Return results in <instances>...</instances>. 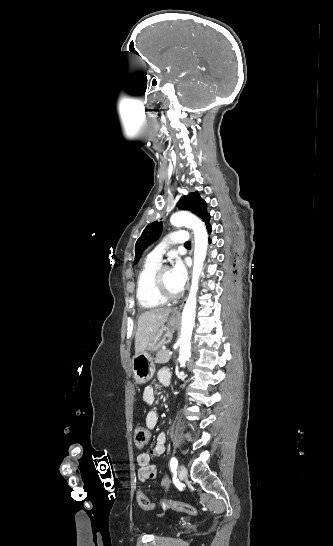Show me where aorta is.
Here are the masks:
<instances>
[{"instance_id": "1", "label": "aorta", "mask_w": 333, "mask_h": 546, "mask_svg": "<svg viewBox=\"0 0 333 546\" xmlns=\"http://www.w3.org/2000/svg\"><path fill=\"white\" fill-rule=\"evenodd\" d=\"M170 222L175 227L186 226L194 231L195 249L194 266L192 275V285L189 297L182 313V329L179 339L180 352L179 362L185 367L186 362L191 357V335L196 314V293L198 290V280L201 273L203 262L207 254L208 235L204 223L195 215L188 212H177L171 216Z\"/></svg>"}]
</instances>
